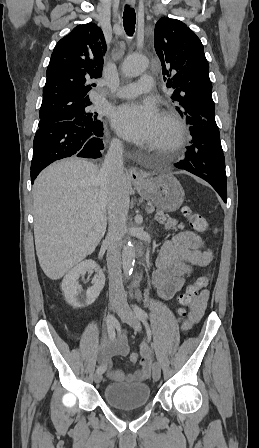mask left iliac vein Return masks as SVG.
Instances as JSON below:
<instances>
[{"label":"left iliac vein","mask_w":259,"mask_h":448,"mask_svg":"<svg viewBox=\"0 0 259 448\" xmlns=\"http://www.w3.org/2000/svg\"><path fill=\"white\" fill-rule=\"evenodd\" d=\"M119 317L126 322L129 326H131L134 330L140 331L141 325L139 318L132 311L127 301L123 300L120 302V306L117 310ZM152 377L154 381H158L161 377V367L158 362L153 364Z\"/></svg>","instance_id":"left-iliac-vein-1"}]
</instances>
